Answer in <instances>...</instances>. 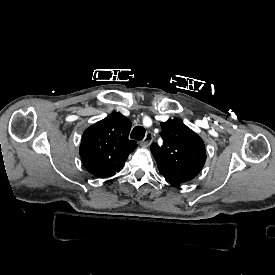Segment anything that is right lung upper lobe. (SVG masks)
I'll return each instance as SVG.
<instances>
[{"mask_svg":"<svg viewBox=\"0 0 275 275\" xmlns=\"http://www.w3.org/2000/svg\"><path fill=\"white\" fill-rule=\"evenodd\" d=\"M130 129V120L118 112L87 128L79 148L85 168L99 178L119 172L137 147L136 142L128 138Z\"/></svg>","mask_w":275,"mask_h":275,"instance_id":"obj_1","label":"right lung upper lobe"}]
</instances>
